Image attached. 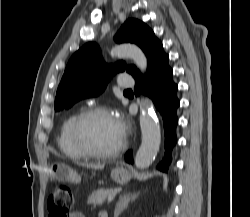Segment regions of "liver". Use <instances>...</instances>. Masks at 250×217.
Returning a JSON list of instances; mask_svg holds the SVG:
<instances>
[{
    "label": "liver",
    "instance_id": "obj_1",
    "mask_svg": "<svg viewBox=\"0 0 250 217\" xmlns=\"http://www.w3.org/2000/svg\"><path fill=\"white\" fill-rule=\"evenodd\" d=\"M84 166H87L92 169H103L104 166L101 165H92V164H84Z\"/></svg>",
    "mask_w": 250,
    "mask_h": 217
}]
</instances>
